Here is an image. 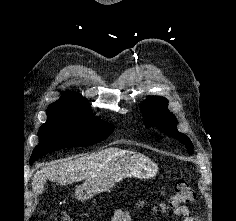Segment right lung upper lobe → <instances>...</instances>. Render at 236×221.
<instances>
[{"mask_svg":"<svg viewBox=\"0 0 236 221\" xmlns=\"http://www.w3.org/2000/svg\"><path fill=\"white\" fill-rule=\"evenodd\" d=\"M49 106H64L77 110L91 111L88 101L80 94L63 92L62 96Z\"/></svg>","mask_w":236,"mask_h":221,"instance_id":"obj_1","label":"right lung upper lobe"}]
</instances>
